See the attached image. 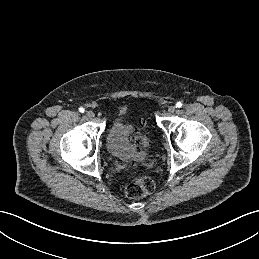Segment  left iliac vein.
Instances as JSON below:
<instances>
[{
  "instance_id": "obj_1",
  "label": "left iliac vein",
  "mask_w": 259,
  "mask_h": 259,
  "mask_svg": "<svg viewBox=\"0 0 259 259\" xmlns=\"http://www.w3.org/2000/svg\"><path fill=\"white\" fill-rule=\"evenodd\" d=\"M175 110H176V107L174 105H171V106L168 107V112L169 113H174Z\"/></svg>"
}]
</instances>
